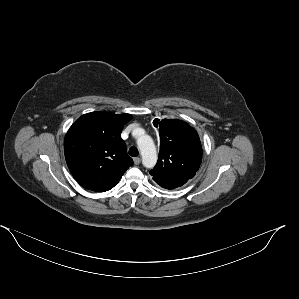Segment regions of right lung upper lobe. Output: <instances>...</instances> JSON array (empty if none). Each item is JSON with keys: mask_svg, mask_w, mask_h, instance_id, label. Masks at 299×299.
I'll return each instance as SVG.
<instances>
[{"mask_svg": "<svg viewBox=\"0 0 299 299\" xmlns=\"http://www.w3.org/2000/svg\"><path fill=\"white\" fill-rule=\"evenodd\" d=\"M130 114L91 112L82 115L64 139L67 165L84 188L96 192L112 189L133 165L121 131Z\"/></svg>", "mask_w": 299, "mask_h": 299, "instance_id": "cb5924a9", "label": "right lung upper lobe"}]
</instances>
